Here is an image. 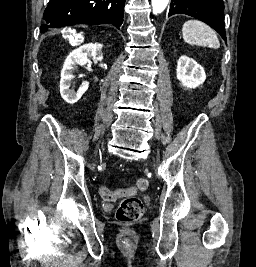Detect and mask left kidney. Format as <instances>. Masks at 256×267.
Listing matches in <instances>:
<instances>
[{
  "mask_svg": "<svg viewBox=\"0 0 256 267\" xmlns=\"http://www.w3.org/2000/svg\"><path fill=\"white\" fill-rule=\"evenodd\" d=\"M177 80L185 88H198L206 80L204 68L188 56H181L177 62Z\"/></svg>",
  "mask_w": 256,
  "mask_h": 267,
  "instance_id": "1",
  "label": "left kidney"
}]
</instances>
